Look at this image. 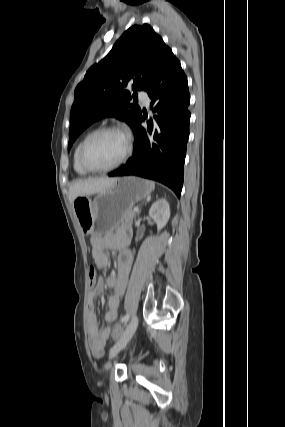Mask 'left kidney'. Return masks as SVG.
Segmentation results:
<instances>
[{
  "label": "left kidney",
  "mask_w": 285,
  "mask_h": 427,
  "mask_svg": "<svg viewBox=\"0 0 285 427\" xmlns=\"http://www.w3.org/2000/svg\"><path fill=\"white\" fill-rule=\"evenodd\" d=\"M149 216L157 223L158 231H160L170 218V207L165 199L157 200L149 210Z\"/></svg>",
  "instance_id": "1"
}]
</instances>
